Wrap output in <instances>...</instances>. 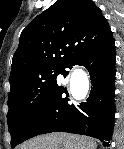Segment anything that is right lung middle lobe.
<instances>
[{
	"label": "right lung middle lobe",
	"mask_w": 124,
	"mask_h": 149,
	"mask_svg": "<svg viewBox=\"0 0 124 149\" xmlns=\"http://www.w3.org/2000/svg\"><path fill=\"white\" fill-rule=\"evenodd\" d=\"M63 68H46L36 71L11 88L8 96V130L11 146L18 145L24 130L40 105L57 84Z\"/></svg>",
	"instance_id": "right-lung-middle-lobe-1"
}]
</instances>
